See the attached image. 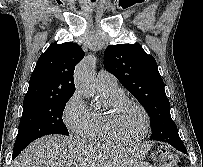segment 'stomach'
Here are the masks:
<instances>
[{"label": "stomach", "instance_id": "obj_1", "mask_svg": "<svg viewBox=\"0 0 203 167\" xmlns=\"http://www.w3.org/2000/svg\"><path fill=\"white\" fill-rule=\"evenodd\" d=\"M133 167H152V166L146 162L140 161V162L136 163Z\"/></svg>", "mask_w": 203, "mask_h": 167}]
</instances>
